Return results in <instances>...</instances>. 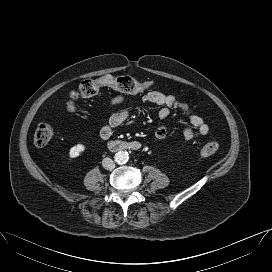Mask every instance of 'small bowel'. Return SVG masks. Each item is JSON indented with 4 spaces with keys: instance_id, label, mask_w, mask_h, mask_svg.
<instances>
[{
    "instance_id": "1",
    "label": "small bowel",
    "mask_w": 272,
    "mask_h": 272,
    "mask_svg": "<svg viewBox=\"0 0 272 272\" xmlns=\"http://www.w3.org/2000/svg\"><path fill=\"white\" fill-rule=\"evenodd\" d=\"M143 99L145 102L160 106V109L157 112V117L161 121L166 120L173 110H177L184 114L189 120V125L183 130V136L185 139L192 140L208 134L209 126L201 116L192 112L187 102L180 100L173 95H167L158 91L147 92ZM123 103L124 99L122 97H115L111 100L109 107L112 110L108 116L107 122L100 130L101 139H110L115 128L129 121L131 115L129 108L114 110L116 106ZM154 135L158 140L164 139L167 135L166 125L163 123L160 124L156 128Z\"/></svg>"
}]
</instances>
